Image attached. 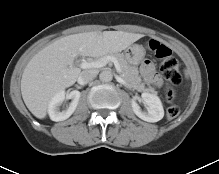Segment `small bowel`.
Segmentation results:
<instances>
[{
  "mask_svg": "<svg viewBox=\"0 0 219 174\" xmlns=\"http://www.w3.org/2000/svg\"><path fill=\"white\" fill-rule=\"evenodd\" d=\"M141 73L145 80L151 85L160 84V76L151 60H145L141 66Z\"/></svg>",
  "mask_w": 219,
  "mask_h": 174,
  "instance_id": "obj_1",
  "label": "small bowel"
}]
</instances>
